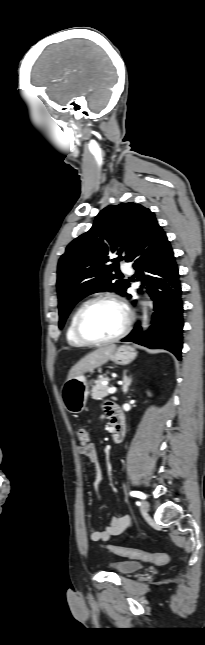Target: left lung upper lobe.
I'll return each instance as SVG.
<instances>
[{
  "label": "left lung upper lobe",
  "mask_w": 205,
  "mask_h": 645,
  "mask_svg": "<svg viewBox=\"0 0 205 645\" xmlns=\"http://www.w3.org/2000/svg\"><path fill=\"white\" fill-rule=\"evenodd\" d=\"M156 221L155 214L140 204L109 205L96 216L88 232L67 246L57 271L59 328L74 305L87 295L104 290L126 294L128 280L114 282L113 272H118L119 261L132 262L148 228Z\"/></svg>",
  "instance_id": "1"
}]
</instances>
